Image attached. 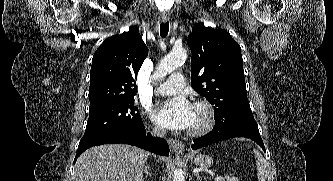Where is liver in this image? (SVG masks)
I'll use <instances>...</instances> for the list:
<instances>
[{"label": "liver", "mask_w": 333, "mask_h": 181, "mask_svg": "<svg viewBox=\"0 0 333 181\" xmlns=\"http://www.w3.org/2000/svg\"><path fill=\"white\" fill-rule=\"evenodd\" d=\"M149 152L106 144L85 151L75 165L76 181H141Z\"/></svg>", "instance_id": "1"}]
</instances>
